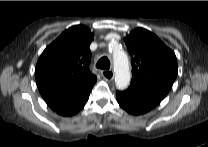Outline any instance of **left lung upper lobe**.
I'll use <instances>...</instances> for the list:
<instances>
[{
  "mask_svg": "<svg viewBox=\"0 0 208 147\" xmlns=\"http://www.w3.org/2000/svg\"><path fill=\"white\" fill-rule=\"evenodd\" d=\"M131 55L130 87L164 98L178 72L175 53L152 32L137 28L125 38Z\"/></svg>",
  "mask_w": 208,
  "mask_h": 147,
  "instance_id": "5c2ea615",
  "label": "left lung upper lobe"
}]
</instances>
